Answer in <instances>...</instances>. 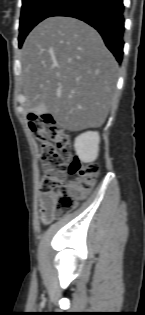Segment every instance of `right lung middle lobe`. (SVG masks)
Masks as SVG:
<instances>
[{
    "instance_id": "dd1d6c3e",
    "label": "right lung middle lobe",
    "mask_w": 145,
    "mask_h": 315,
    "mask_svg": "<svg viewBox=\"0 0 145 315\" xmlns=\"http://www.w3.org/2000/svg\"><path fill=\"white\" fill-rule=\"evenodd\" d=\"M65 0H22L20 17L19 47L28 33L39 22L49 17Z\"/></svg>"
}]
</instances>
